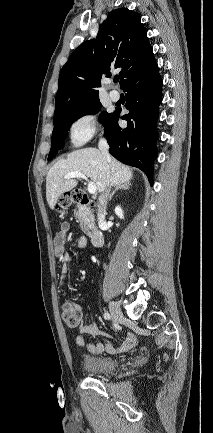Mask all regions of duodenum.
Returning <instances> with one entry per match:
<instances>
[{"label":"duodenum","instance_id":"1","mask_svg":"<svg viewBox=\"0 0 213 433\" xmlns=\"http://www.w3.org/2000/svg\"><path fill=\"white\" fill-rule=\"evenodd\" d=\"M81 206L87 208V209H93L92 206L89 205V203L87 202H81L80 203ZM90 240L91 243L95 246V247H100L103 244V233L100 229L98 228H93L91 230L90 233Z\"/></svg>","mask_w":213,"mask_h":433}]
</instances>
